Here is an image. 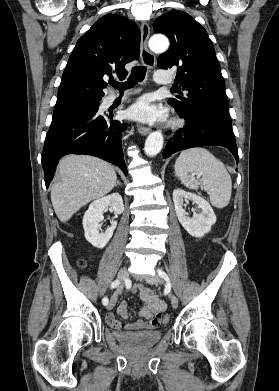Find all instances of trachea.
<instances>
[{
  "label": "trachea",
  "mask_w": 279,
  "mask_h": 391,
  "mask_svg": "<svg viewBox=\"0 0 279 391\" xmlns=\"http://www.w3.org/2000/svg\"><path fill=\"white\" fill-rule=\"evenodd\" d=\"M145 66H135L132 68L131 74L127 82L119 83L116 81L111 82V86L119 91H124L136 85L138 82H141L145 79L146 75Z\"/></svg>",
  "instance_id": "trachea-1"
}]
</instances>
